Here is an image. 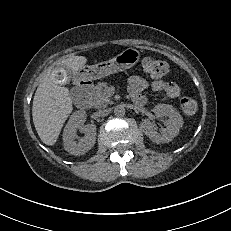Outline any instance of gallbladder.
I'll list each match as a JSON object with an SVG mask.
<instances>
[{"label": "gallbladder", "instance_id": "gallbladder-1", "mask_svg": "<svg viewBox=\"0 0 231 231\" xmlns=\"http://www.w3.org/2000/svg\"><path fill=\"white\" fill-rule=\"evenodd\" d=\"M50 80L55 85H65L70 80V71L65 66H56L50 72Z\"/></svg>", "mask_w": 231, "mask_h": 231}]
</instances>
